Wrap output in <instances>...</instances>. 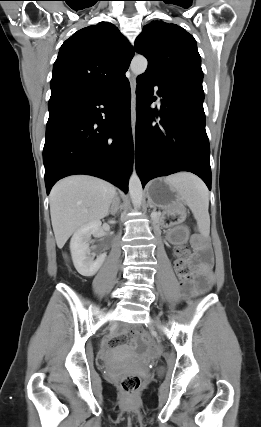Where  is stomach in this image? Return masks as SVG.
Returning a JSON list of instances; mask_svg holds the SVG:
<instances>
[{
  "label": "stomach",
  "mask_w": 261,
  "mask_h": 427,
  "mask_svg": "<svg viewBox=\"0 0 261 427\" xmlns=\"http://www.w3.org/2000/svg\"><path fill=\"white\" fill-rule=\"evenodd\" d=\"M148 201L151 205L165 210L170 215L184 214L183 200L177 189L166 179H156L147 187Z\"/></svg>",
  "instance_id": "obj_1"
}]
</instances>
